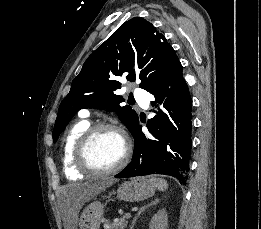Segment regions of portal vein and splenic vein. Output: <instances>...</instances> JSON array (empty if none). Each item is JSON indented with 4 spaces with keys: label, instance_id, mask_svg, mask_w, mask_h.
<instances>
[{
    "label": "portal vein and splenic vein",
    "instance_id": "portal-vein-and-splenic-vein-1",
    "mask_svg": "<svg viewBox=\"0 0 261 229\" xmlns=\"http://www.w3.org/2000/svg\"><path fill=\"white\" fill-rule=\"evenodd\" d=\"M125 217L126 219H130V213H126Z\"/></svg>",
    "mask_w": 261,
    "mask_h": 229
}]
</instances>
